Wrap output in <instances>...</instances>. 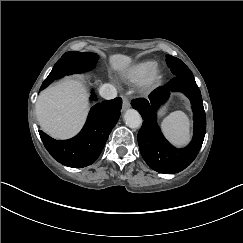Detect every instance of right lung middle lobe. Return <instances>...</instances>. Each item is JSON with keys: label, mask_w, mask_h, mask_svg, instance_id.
<instances>
[{"label": "right lung middle lobe", "mask_w": 243, "mask_h": 243, "mask_svg": "<svg viewBox=\"0 0 243 243\" xmlns=\"http://www.w3.org/2000/svg\"><path fill=\"white\" fill-rule=\"evenodd\" d=\"M98 55L95 53L66 52L54 65L51 73L42 83L40 90L45 89L54 80L73 73H83L95 67Z\"/></svg>", "instance_id": "right-lung-middle-lobe-1"}]
</instances>
